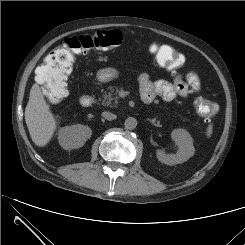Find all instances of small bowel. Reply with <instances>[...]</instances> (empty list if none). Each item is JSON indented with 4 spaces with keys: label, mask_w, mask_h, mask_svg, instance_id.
Returning a JSON list of instances; mask_svg holds the SVG:
<instances>
[{
    "label": "small bowel",
    "mask_w": 245,
    "mask_h": 245,
    "mask_svg": "<svg viewBox=\"0 0 245 245\" xmlns=\"http://www.w3.org/2000/svg\"><path fill=\"white\" fill-rule=\"evenodd\" d=\"M142 100L151 103L156 97L164 101H173L178 97L187 98L200 91L201 82L197 73L189 70L184 76L176 75L173 82L151 81L147 73L138 77Z\"/></svg>",
    "instance_id": "obj_1"
}]
</instances>
